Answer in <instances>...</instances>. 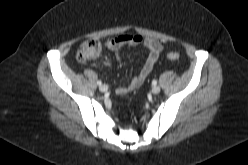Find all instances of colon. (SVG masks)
<instances>
[{
	"mask_svg": "<svg viewBox=\"0 0 248 165\" xmlns=\"http://www.w3.org/2000/svg\"><path fill=\"white\" fill-rule=\"evenodd\" d=\"M100 52L101 45L97 40H86L81 44L76 57L79 62L85 63L95 60ZM167 57L171 61H176L180 58V55L177 52H170Z\"/></svg>",
	"mask_w": 248,
	"mask_h": 165,
	"instance_id": "5ec220e1",
	"label": "colon"
}]
</instances>
